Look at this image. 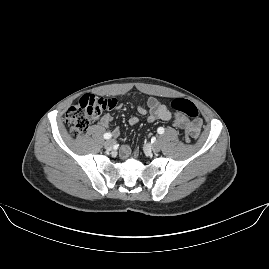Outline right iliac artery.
Returning a JSON list of instances; mask_svg holds the SVG:
<instances>
[{
    "label": "right iliac artery",
    "instance_id": "right-iliac-artery-1",
    "mask_svg": "<svg viewBox=\"0 0 269 269\" xmlns=\"http://www.w3.org/2000/svg\"><path fill=\"white\" fill-rule=\"evenodd\" d=\"M111 136H112V135H111L110 133H105V134H104V138H105V139H110Z\"/></svg>",
    "mask_w": 269,
    "mask_h": 269
}]
</instances>
